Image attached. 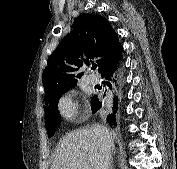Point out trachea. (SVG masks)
I'll return each instance as SVG.
<instances>
[{
    "label": "trachea",
    "instance_id": "obj_1",
    "mask_svg": "<svg viewBox=\"0 0 177 169\" xmlns=\"http://www.w3.org/2000/svg\"><path fill=\"white\" fill-rule=\"evenodd\" d=\"M96 67H97V66H96V65H94V66L92 67V69H96Z\"/></svg>",
    "mask_w": 177,
    "mask_h": 169
}]
</instances>
